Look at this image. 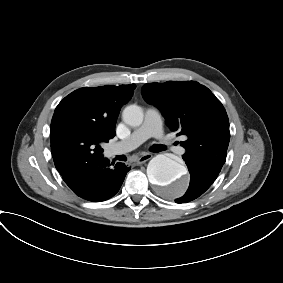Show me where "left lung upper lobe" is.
<instances>
[{"mask_svg": "<svg viewBox=\"0 0 283 283\" xmlns=\"http://www.w3.org/2000/svg\"><path fill=\"white\" fill-rule=\"evenodd\" d=\"M142 94L161 110L171 130L186 136L183 159L219 174L230 140L229 120L212 92L194 81H168L145 84Z\"/></svg>", "mask_w": 283, "mask_h": 283, "instance_id": "5c2ea615", "label": "left lung upper lobe"}]
</instances>
